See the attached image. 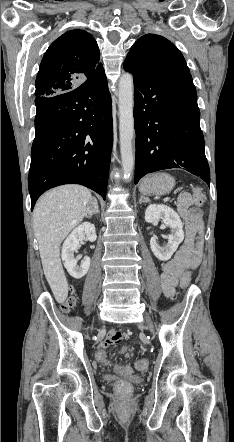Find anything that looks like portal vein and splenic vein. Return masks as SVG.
<instances>
[{
	"label": "portal vein and splenic vein",
	"instance_id": "1",
	"mask_svg": "<svg viewBox=\"0 0 234 442\" xmlns=\"http://www.w3.org/2000/svg\"><path fill=\"white\" fill-rule=\"evenodd\" d=\"M170 200V198L169 197H167V198H165L164 199V201L166 202V201H169Z\"/></svg>",
	"mask_w": 234,
	"mask_h": 442
}]
</instances>
